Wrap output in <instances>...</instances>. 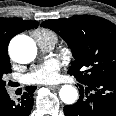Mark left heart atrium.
Wrapping results in <instances>:
<instances>
[{
  "instance_id": "left-heart-atrium-1",
  "label": "left heart atrium",
  "mask_w": 116,
  "mask_h": 116,
  "mask_svg": "<svg viewBox=\"0 0 116 116\" xmlns=\"http://www.w3.org/2000/svg\"><path fill=\"white\" fill-rule=\"evenodd\" d=\"M61 64L57 59L51 58L31 69L26 75V81L31 84H50L58 79Z\"/></svg>"
}]
</instances>
